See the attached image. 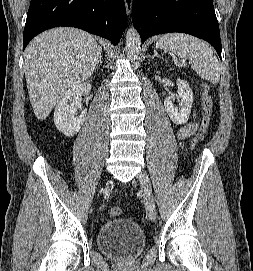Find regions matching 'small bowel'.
Instances as JSON below:
<instances>
[{"instance_id": "c3829d8e", "label": "small bowel", "mask_w": 253, "mask_h": 271, "mask_svg": "<svg viewBox=\"0 0 253 271\" xmlns=\"http://www.w3.org/2000/svg\"><path fill=\"white\" fill-rule=\"evenodd\" d=\"M199 123L197 121H191L183 125L177 131V138L180 140H184L192 136L198 129Z\"/></svg>"}]
</instances>
